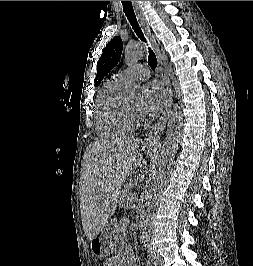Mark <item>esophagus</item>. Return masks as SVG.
I'll list each match as a JSON object with an SVG mask.
<instances>
[{"instance_id": "esophagus-1", "label": "esophagus", "mask_w": 253, "mask_h": 266, "mask_svg": "<svg viewBox=\"0 0 253 266\" xmlns=\"http://www.w3.org/2000/svg\"><path fill=\"white\" fill-rule=\"evenodd\" d=\"M135 12L137 14V17L146 33V36L148 37L154 52L156 53L157 57H158V72L160 74V78L163 82V86L165 88L166 91V96H167V100H166V105H165V109L162 113V115L160 116V118L158 119V121L155 123V125L153 126V128L150 130V132L147 134V136L144 139V142L146 144H152V143H156L160 140L166 124H167V120L169 118V114L171 112V108H172V104H173V90L171 88V84L170 81L167 77V74L164 70L163 67V63L160 59V51H159V47L155 42V39L153 37V35L150 32L147 20L145 18V15L138 3V1H132Z\"/></svg>"}]
</instances>
